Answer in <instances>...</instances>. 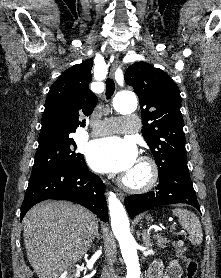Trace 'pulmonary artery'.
Listing matches in <instances>:
<instances>
[{
  "instance_id": "1",
  "label": "pulmonary artery",
  "mask_w": 221,
  "mask_h": 278,
  "mask_svg": "<svg viewBox=\"0 0 221 278\" xmlns=\"http://www.w3.org/2000/svg\"><path fill=\"white\" fill-rule=\"evenodd\" d=\"M93 136L107 135L117 132H135L138 130V119L135 116L123 118H109L100 123L93 124Z\"/></svg>"
}]
</instances>
